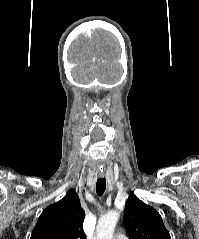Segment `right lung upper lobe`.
I'll return each mask as SVG.
<instances>
[{
  "label": "right lung upper lobe",
  "instance_id": "1",
  "mask_svg": "<svg viewBox=\"0 0 199 239\" xmlns=\"http://www.w3.org/2000/svg\"><path fill=\"white\" fill-rule=\"evenodd\" d=\"M84 218L79 197L71 189L63 199L43 210L30 239H86Z\"/></svg>",
  "mask_w": 199,
  "mask_h": 239
}]
</instances>
